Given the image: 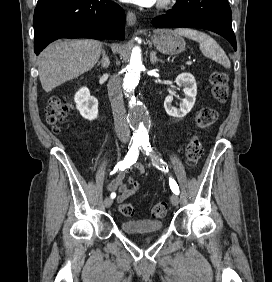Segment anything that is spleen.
<instances>
[{"mask_svg": "<svg viewBox=\"0 0 272 282\" xmlns=\"http://www.w3.org/2000/svg\"><path fill=\"white\" fill-rule=\"evenodd\" d=\"M175 35L184 36L199 43L202 54L212 58L225 68H230L231 63L225 52L218 43L206 33L190 28H178L174 30Z\"/></svg>", "mask_w": 272, "mask_h": 282, "instance_id": "1", "label": "spleen"}]
</instances>
